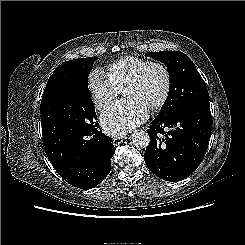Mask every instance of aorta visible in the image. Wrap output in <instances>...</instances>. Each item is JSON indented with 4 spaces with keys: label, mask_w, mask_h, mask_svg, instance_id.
I'll return each mask as SVG.
<instances>
[{
    "label": "aorta",
    "mask_w": 245,
    "mask_h": 245,
    "mask_svg": "<svg viewBox=\"0 0 245 245\" xmlns=\"http://www.w3.org/2000/svg\"><path fill=\"white\" fill-rule=\"evenodd\" d=\"M149 135L143 130L135 131L131 135V143L137 148H146L149 145Z\"/></svg>",
    "instance_id": "aorta-1"
}]
</instances>
